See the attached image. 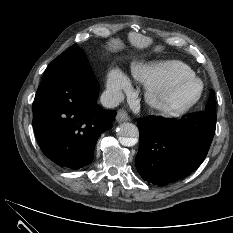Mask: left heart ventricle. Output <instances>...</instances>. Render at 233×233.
<instances>
[{
	"instance_id": "b2bd125f",
	"label": "left heart ventricle",
	"mask_w": 233,
	"mask_h": 233,
	"mask_svg": "<svg viewBox=\"0 0 233 233\" xmlns=\"http://www.w3.org/2000/svg\"><path fill=\"white\" fill-rule=\"evenodd\" d=\"M198 91V85L187 82L179 85L176 89L163 96L164 101L170 104H181L192 99Z\"/></svg>"
}]
</instances>
